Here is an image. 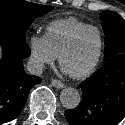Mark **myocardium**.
I'll use <instances>...</instances> for the list:
<instances>
[{"instance_id": "myocardium-1", "label": "myocardium", "mask_w": 125, "mask_h": 125, "mask_svg": "<svg viewBox=\"0 0 125 125\" xmlns=\"http://www.w3.org/2000/svg\"><path fill=\"white\" fill-rule=\"evenodd\" d=\"M87 30H95L98 34L99 37V48H98V52L93 60V62L91 63V65L84 70L83 72L77 73V74H71L68 73L72 78L74 79H84L87 78L88 76H90L96 69V67L99 64V61L101 59L102 56V52H103V47H104V40H103V35L101 30L93 25H87L79 30H77L76 32H74L72 34V36L68 39V41L63 45V47L61 48L59 54H58V61L59 64L63 67V58L65 56V54L73 47L74 43L76 42L77 38L85 31Z\"/></svg>"}]
</instances>
